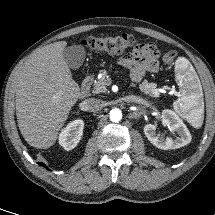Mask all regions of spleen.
<instances>
[{
	"label": "spleen",
	"mask_w": 215,
	"mask_h": 215,
	"mask_svg": "<svg viewBox=\"0 0 215 215\" xmlns=\"http://www.w3.org/2000/svg\"><path fill=\"white\" fill-rule=\"evenodd\" d=\"M175 71L181 90L180 98L174 101L173 108L190 123L198 124L202 118L204 106L193 67L186 58L179 57L176 60Z\"/></svg>",
	"instance_id": "spleen-1"
}]
</instances>
